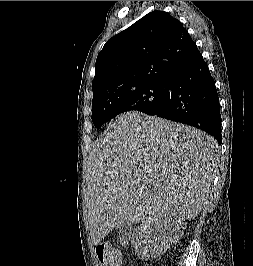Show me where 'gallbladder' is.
<instances>
[{
    "mask_svg": "<svg viewBox=\"0 0 253 266\" xmlns=\"http://www.w3.org/2000/svg\"><path fill=\"white\" fill-rule=\"evenodd\" d=\"M130 228V225H127V224H122L120 225V233L124 230V229H129Z\"/></svg>",
    "mask_w": 253,
    "mask_h": 266,
    "instance_id": "bac80fb5",
    "label": "gallbladder"
}]
</instances>
